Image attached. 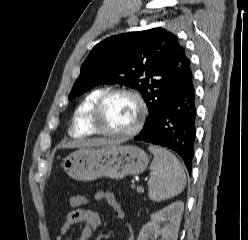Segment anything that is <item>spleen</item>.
I'll return each instance as SVG.
<instances>
[{
  "label": "spleen",
  "instance_id": "3e777b00",
  "mask_svg": "<svg viewBox=\"0 0 248 240\" xmlns=\"http://www.w3.org/2000/svg\"><path fill=\"white\" fill-rule=\"evenodd\" d=\"M154 155L148 180L149 198L160 202L180 194L186 186V174L175 155L164 148L149 146Z\"/></svg>",
  "mask_w": 248,
  "mask_h": 240
}]
</instances>
